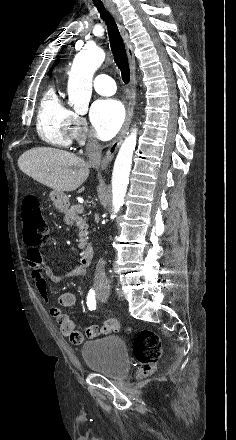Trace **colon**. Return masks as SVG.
I'll use <instances>...</instances> for the list:
<instances>
[{
  "label": "colon",
  "instance_id": "1",
  "mask_svg": "<svg viewBox=\"0 0 236 440\" xmlns=\"http://www.w3.org/2000/svg\"><path fill=\"white\" fill-rule=\"evenodd\" d=\"M24 241L29 246L37 245L49 235V227L40 209L39 200L34 195H27L22 204ZM117 331V330H116ZM133 355L141 364L140 377L151 372L161 355V343L151 330L139 331L132 346Z\"/></svg>",
  "mask_w": 236,
  "mask_h": 440
}]
</instances>
